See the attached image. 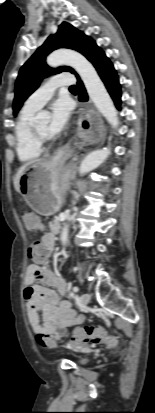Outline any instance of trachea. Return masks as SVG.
<instances>
[{
    "label": "trachea",
    "instance_id": "1",
    "mask_svg": "<svg viewBox=\"0 0 155 413\" xmlns=\"http://www.w3.org/2000/svg\"><path fill=\"white\" fill-rule=\"evenodd\" d=\"M70 89H71V90L77 89V86H76V85H73V86L70 87Z\"/></svg>",
    "mask_w": 155,
    "mask_h": 413
}]
</instances>
